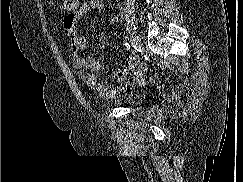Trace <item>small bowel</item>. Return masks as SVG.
<instances>
[{
  "label": "small bowel",
  "instance_id": "obj_1",
  "mask_svg": "<svg viewBox=\"0 0 243 182\" xmlns=\"http://www.w3.org/2000/svg\"><path fill=\"white\" fill-rule=\"evenodd\" d=\"M103 7L104 0H88L76 12L64 17L63 31L70 39L72 63L78 77L98 97L108 99L113 98L127 86L140 84L146 72V65L140 61L137 55H132L124 68L113 71L114 86L107 87L98 82L95 73L101 70V63L94 58L84 56L86 41L84 35L79 31L78 25L91 10ZM131 71L133 77L129 78Z\"/></svg>",
  "mask_w": 243,
  "mask_h": 182
}]
</instances>
